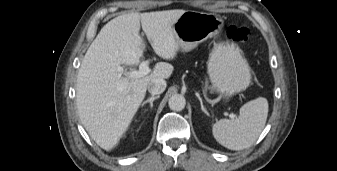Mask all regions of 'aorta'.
Returning <instances> with one entry per match:
<instances>
[{"label":"aorta","instance_id":"aorta-1","mask_svg":"<svg viewBox=\"0 0 337 171\" xmlns=\"http://www.w3.org/2000/svg\"><path fill=\"white\" fill-rule=\"evenodd\" d=\"M169 108L173 111H181L185 108L186 100L180 94H174L169 98Z\"/></svg>","mask_w":337,"mask_h":171}]
</instances>
